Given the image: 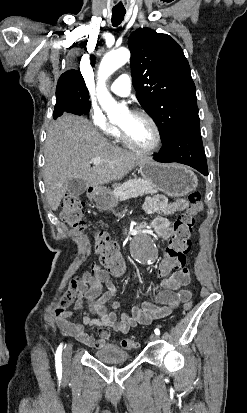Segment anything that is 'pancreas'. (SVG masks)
I'll list each match as a JSON object with an SVG mask.
<instances>
[{"label":"pancreas","mask_w":247,"mask_h":413,"mask_svg":"<svg viewBox=\"0 0 247 413\" xmlns=\"http://www.w3.org/2000/svg\"><path fill=\"white\" fill-rule=\"evenodd\" d=\"M112 192L119 200H127V198H134V196H141V194H154V192H158V188H154L153 184L144 178H130L123 184H119Z\"/></svg>","instance_id":"pancreas-1"}]
</instances>
